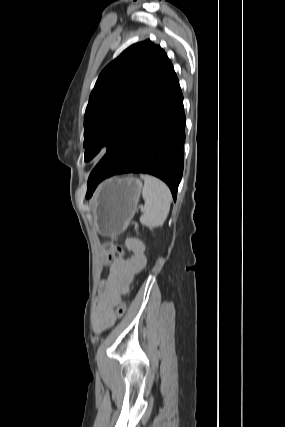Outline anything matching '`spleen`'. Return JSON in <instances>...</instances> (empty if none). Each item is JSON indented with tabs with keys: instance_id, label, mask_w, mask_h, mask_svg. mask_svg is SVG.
I'll return each instance as SVG.
<instances>
[{
	"instance_id": "obj_1",
	"label": "spleen",
	"mask_w": 285,
	"mask_h": 427,
	"mask_svg": "<svg viewBox=\"0 0 285 427\" xmlns=\"http://www.w3.org/2000/svg\"><path fill=\"white\" fill-rule=\"evenodd\" d=\"M144 180L142 196L145 202L144 213L140 217L141 224L154 227L166 220L171 204V192L168 186L150 175H141Z\"/></svg>"
}]
</instances>
